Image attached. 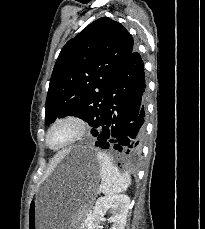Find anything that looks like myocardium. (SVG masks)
Segmentation results:
<instances>
[{
    "label": "myocardium",
    "instance_id": "obj_1",
    "mask_svg": "<svg viewBox=\"0 0 205 229\" xmlns=\"http://www.w3.org/2000/svg\"><path fill=\"white\" fill-rule=\"evenodd\" d=\"M62 125L70 126L73 129V133L70 136V138L65 142H63L62 144L58 146H52L50 144V136L57 127ZM87 129H88V124L86 120L81 116L76 114H68V115L61 116L56 120H54L53 123L47 129V132L45 134V145L47 148L53 151L63 150L80 141L86 135Z\"/></svg>",
    "mask_w": 205,
    "mask_h": 229
}]
</instances>
